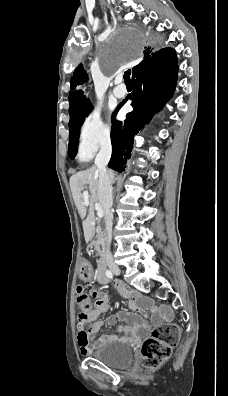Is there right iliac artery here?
Wrapping results in <instances>:
<instances>
[{"label": "right iliac artery", "instance_id": "obj_1", "mask_svg": "<svg viewBox=\"0 0 228 396\" xmlns=\"http://www.w3.org/2000/svg\"><path fill=\"white\" fill-rule=\"evenodd\" d=\"M105 274L110 279L113 277V274H112V272L110 270H106Z\"/></svg>", "mask_w": 228, "mask_h": 396}]
</instances>
